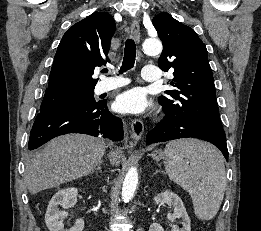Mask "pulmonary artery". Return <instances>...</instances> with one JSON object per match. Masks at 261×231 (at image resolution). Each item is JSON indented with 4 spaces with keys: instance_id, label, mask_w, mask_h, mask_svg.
I'll return each mask as SVG.
<instances>
[{
    "instance_id": "pulmonary-artery-1",
    "label": "pulmonary artery",
    "mask_w": 261,
    "mask_h": 231,
    "mask_svg": "<svg viewBox=\"0 0 261 231\" xmlns=\"http://www.w3.org/2000/svg\"><path fill=\"white\" fill-rule=\"evenodd\" d=\"M142 78L147 82H158L159 80V68L156 66H144L142 71ZM127 84L126 79H105L101 81L99 90L106 92L109 90L117 89Z\"/></svg>"
}]
</instances>
